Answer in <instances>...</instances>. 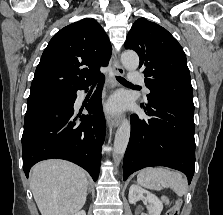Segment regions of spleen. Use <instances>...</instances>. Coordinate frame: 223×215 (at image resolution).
Returning a JSON list of instances; mask_svg holds the SVG:
<instances>
[{
    "mask_svg": "<svg viewBox=\"0 0 223 215\" xmlns=\"http://www.w3.org/2000/svg\"><path fill=\"white\" fill-rule=\"evenodd\" d=\"M139 185L150 189H163L171 187L177 195L186 193V181L179 171H170L165 167H145L137 175Z\"/></svg>",
    "mask_w": 223,
    "mask_h": 215,
    "instance_id": "spleen-1",
    "label": "spleen"
}]
</instances>
